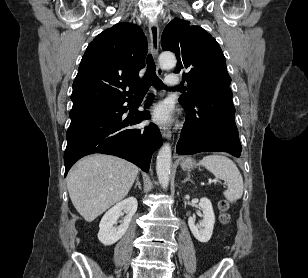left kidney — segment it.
<instances>
[{
	"instance_id": "5707ae66",
	"label": "left kidney",
	"mask_w": 308,
	"mask_h": 278,
	"mask_svg": "<svg viewBox=\"0 0 308 278\" xmlns=\"http://www.w3.org/2000/svg\"><path fill=\"white\" fill-rule=\"evenodd\" d=\"M199 208L203 212V220L195 225V222L192 217L188 219L189 228L193 234V236L201 243H206L210 240L214 223H215V215L212 207V203L208 198H201L199 202Z\"/></svg>"
}]
</instances>
